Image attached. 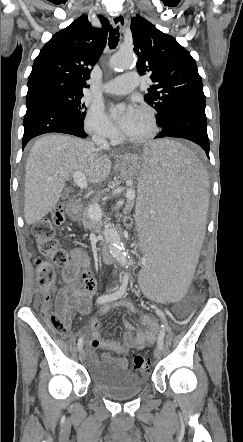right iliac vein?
Here are the masks:
<instances>
[{
	"label": "right iliac vein",
	"mask_w": 243,
	"mask_h": 442,
	"mask_svg": "<svg viewBox=\"0 0 243 442\" xmlns=\"http://www.w3.org/2000/svg\"><path fill=\"white\" fill-rule=\"evenodd\" d=\"M79 358L81 361H84L86 359V353L84 350H80Z\"/></svg>",
	"instance_id": "right-iliac-vein-1"
}]
</instances>
